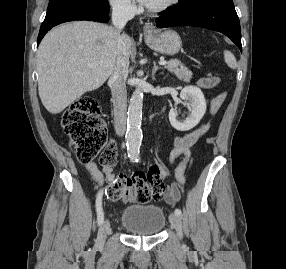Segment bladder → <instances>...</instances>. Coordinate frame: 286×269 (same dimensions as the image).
<instances>
[{
    "instance_id": "bladder-1",
    "label": "bladder",
    "mask_w": 286,
    "mask_h": 269,
    "mask_svg": "<svg viewBox=\"0 0 286 269\" xmlns=\"http://www.w3.org/2000/svg\"><path fill=\"white\" fill-rule=\"evenodd\" d=\"M120 224L133 234L156 235L165 228L166 215L159 206L133 204L122 210Z\"/></svg>"
}]
</instances>
